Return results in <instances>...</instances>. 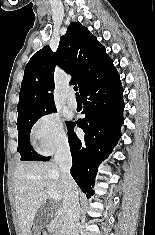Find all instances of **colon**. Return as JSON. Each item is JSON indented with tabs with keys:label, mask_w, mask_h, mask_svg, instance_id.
I'll list each match as a JSON object with an SVG mask.
<instances>
[{
	"label": "colon",
	"mask_w": 155,
	"mask_h": 235,
	"mask_svg": "<svg viewBox=\"0 0 155 235\" xmlns=\"http://www.w3.org/2000/svg\"><path fill=\"white\" fill-rule=\"evenodd\" d=\"M29 235H47V234L43 231H33Z\"/></svg>",
	"instance_id": "colon-1"
}]
</instances>
